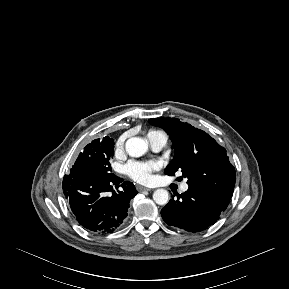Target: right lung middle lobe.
Segmentation results:
<instances>
[{
    "label": "right lung middle lobe",
    "instance_id": "1",
    "mask_svg": "<svg viewBox=\"0 0 289 289\" xmlns=\"http://www.w3.org/2000/svg\"><path fill=\"white\" fill-rule=\"evenodd\" d=\"M114 141L108 136L95 139L81 152L72 169L96 178H109L111 173L110 158L114 155Z\"/></svg>",
    "mask_w": 289,
    "mask_h": 289
}]
</instances>
